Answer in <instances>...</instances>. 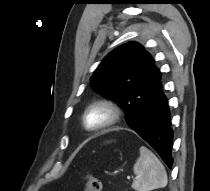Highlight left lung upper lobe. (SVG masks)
<instances>
[{"instance_id": "5c2ea615", "label": "left lung upper lobe", "mask_w": 210, "mask_h": 191, "mask_svg": "<svg viewBox=\"0 0 210 191\" xmlns=\"http://www.w3.org/2000/svg\"><path fill=\"white\" fill-rule=\"evenodd\" d=\"M160 72L155 60L136 42H129L106 56L90 78L95 91L116 100L127 122L136 114L141 99L150 93Z\"/></svg>"}]
</instances>
